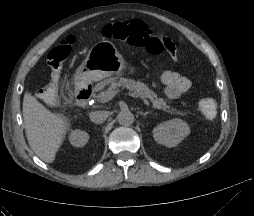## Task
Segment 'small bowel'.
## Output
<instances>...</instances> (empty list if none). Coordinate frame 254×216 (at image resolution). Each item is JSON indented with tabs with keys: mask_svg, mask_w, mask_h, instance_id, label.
Returning a JSON list of instances; mask_svg holds the SVG:
<instances>
[{
	"mask_svg": "<svg viewBox=\"0 0 254 216\" xmlns=\"http://www.w3.org/2000/svg\"><path fill=\"white\" fill-rule=\"evenodd\" d=\"M161 43L166 48L170 61L177 63L180 60V55L176 51L174 43L169 37L164 36L161 39ZM161 82L163 84V94L168 99H176L182 93L187 91L191 86V81L188 77L174 71H165L161 74Z\"/></svg>",
	"mask_w": 254,
	"mask_h": 216,
	"instance_id": "small-bowel-1",
	"label": "small bowel"
}]
</instances>
